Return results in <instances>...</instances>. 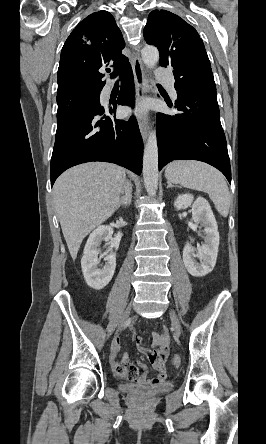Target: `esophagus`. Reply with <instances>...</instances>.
Segmentation results:
<instances>
[{
  "instance_id": "1",
  "label": "esophagus",
  "mask_w": 266,
  "mask_h": 444,
  "mask_svg": "<svg viewBox=\"0 0 266 444\" xmlns=\"http://www.w3.org/2000/svg\"><path fill=\"white\" fill-rule=\"evenodd\" d=\"M132 68L136 83V95L137 99L140 100L143 97L144 93L147 91V79L145 76L142 61L138 54L134 56ZM138 123L142 138L145 141L149 132L148 120L145 117H140Z\"/></svg>"
}]
</instances>
